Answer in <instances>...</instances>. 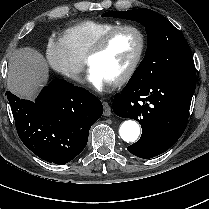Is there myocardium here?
<instances>
[{
  "label": "myocardium",
  "mask_w": 209,
  "mask_h": 209,
  "mask_svg": "<svg viewBox=\"0 0 209 209\" xmlns=\"http://www.w3.org/2000/svg\"><path fill=\"white\" fill-rule=\"evenodd\" d=\"M123 30H132L134 31L138 38H139V48L138 51L131 62L130 66L126 70V72L118 79L115 81L110 82L111 85L114 86H121L126 83H128L133 76L135 75L142 58L144 56L145 50H146V36L141 28L134 24H121L117 25L107 32H105L92 46V48L88 51V53L85 56V62L87 65H89L90 61L101 54L109 44L111 38L118 32L123 31Z\"/></svg>",
  "instance_id": "1"
}]
</instances>
